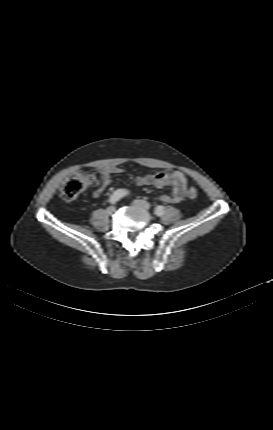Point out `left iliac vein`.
Instances as JSON below:
<instances>
[{
    "label": "left iliac vein",
    "mask_w": 273,
    "mask_h": 430,
    "mask_svg": "<svg viewBox=\"0 0 273 430\" xmlns=\"http://www.w3.org/2000/svg\"><path fill=\"white\" fill-rule=\"evenodd\" d=\"M133 204L136 205V206H138V207H141V208H143L145 210H148L150 208V204L148 202H146L144 200H140V199L134 200Z\"/></svg>",
    "instance_id": "obj_1"
}]
</instances>
